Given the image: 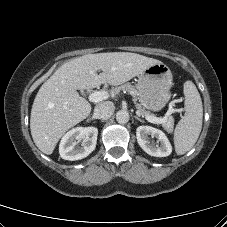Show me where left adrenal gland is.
<instances>
[{"instance_id": "obj_1", "label": "left adrenal gland", "mask_w": 227, "mask_h": 227, "mask_svg": "<svg viewBox=\"0 0 227 227\" xmlns=\"http://www.w3.org/2000/svg\"><path fill=\"white\" fill-rule=\"evenodd\" d=\"M135 119H137L138 121L144 123V120H142L141 118H139L138 116H134Z\"/></svg>"}]
</instances>
